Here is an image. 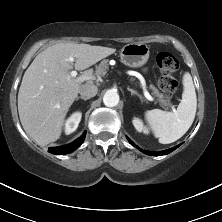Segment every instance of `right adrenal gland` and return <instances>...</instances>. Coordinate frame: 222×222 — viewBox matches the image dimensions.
<instances>
[{
	"mask_svg": "<svg viewBox=\"0 0 222 222\" xmlns=\"http://www.w3.org/2000/svg\"><path fill=\"white\" fill-rule=\"evenodd\" d=\"M79 99H82V100L86 101L88 98H85V97H82V96H81V97H77V98H76V101H78Z\"/></svg>",
	"mask_w": 222,
	"mask_h": 222,
	"instance_id": "obj_1",
	"label": "right adrenal gland"
}]
</instances>
